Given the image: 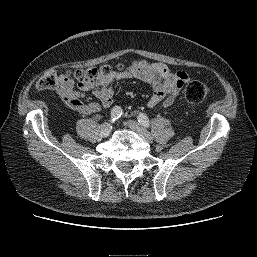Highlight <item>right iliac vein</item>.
Here are the masks:
<instances>
[{"instance_id": "1", "label": "right iliac vein", "mask_w": 257, "mask_h": 257, "mask_svg": "<svg viewBox=\"0 0 257 257\" xmlns=\"http://www.w3.org/2000/svg\"><path fill=\"white\" fill-rule=\"evenodd\" d=\"M110 131H111L110 123L106 122V123L101 124L98 128V133H97L98 138L102 139V138L107 137L110 134Z\"/></svg>"}]
</instances>
